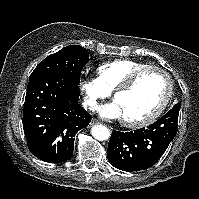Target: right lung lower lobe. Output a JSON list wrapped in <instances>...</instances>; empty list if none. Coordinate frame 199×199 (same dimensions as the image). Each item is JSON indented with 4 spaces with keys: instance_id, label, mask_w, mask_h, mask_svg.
<instances>
[{
    "instance_id": "obj_1",
    "label": "right lung lower lobe",
    "mask_w": 199,
    "mask_h": 199,
    "mask_svg": "<svg viewBox=\"0 0 199 199\" xmlns=\"http://www.w3.org/2000/svg\"><path fill=\"white\" fill-rule=\"evenodd\" d=\"M78 85L61 73L30 76L22 122L27 146L40 160H69L75 134L90 123L92 116L78 104Z\"/></svg>"
}]
</instances>
